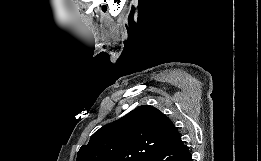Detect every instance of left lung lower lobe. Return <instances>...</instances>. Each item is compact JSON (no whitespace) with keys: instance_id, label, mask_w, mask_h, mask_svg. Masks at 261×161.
I'll return each instance as SVG.
<instances>
[{"instance_id":"0a47b994","label":"left lung lower lobe","mask_w":261,"mask_h":161,"mask_svg":"<svg viewBox=\"0 0 261 161\" xmlns=\"http://www.w3.org/2000/svg\"><path fill=\"white\" fill-rule=\"evenodd\" d=\"M149 161H193L186 145L177 132L166 146H160Z\"/></svg>"}]
</instances>
